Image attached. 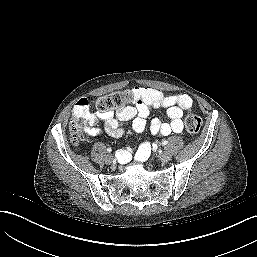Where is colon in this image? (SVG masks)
<instances>
[{
  "instance_id": "colon-1",
  "label": "colon",
  "mask_w": 257,
  "mask_h": 257,
  "mask_svg": "<svg viewBox=\"0 0 257 257\" xmlns=\"http://www.w3.org/2000/svg\"><path fill=\"white\" fill-rule=\"evenodd\" d=\"M135 100V94L130 91H117L105 96H102L94 101V107L100 113L112 112L120 109L128 103ZM91 124L89 102L87 99H79L74 105L73 118L69 124V130L73 142L78 140L83 129ZM202 126V118L200 115L190 110L185 118V129L190 137H195Z\"/></svg>"
}]
</instances>
